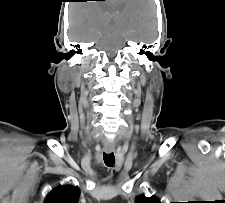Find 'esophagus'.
<instances>
[{
    "instance_id": "34e87169",
    "label": "esophagus",
    "mask_w": 225,
    "mask_h": 203,
    "mask_svg": "<svg viewBox=\"0 0 225 203\" xmlns=\"http://www.w3.org/2000/svg\"><path fill=\"white\" fill-rule=\"evenodd\" d=\"M114 149H112V148H106L105 149V151L107 152V153H110V152H112Z\"/></svg>"
}]
</instances>
